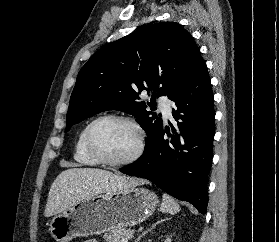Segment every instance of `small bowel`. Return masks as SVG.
Returning <instances> with one entry per match:
<instances>
[{
  "instance_id": "c3829d8e",
  "label": "small bowel",
  "mask_w": 279,
  "mask_h": 242,
  "mask_svg": "<svg viewBox=\"0 0 279 242\" xmlns=\"http://www.w3.org/2000/svg\"><path fill=\"white\" fill-rule=\"evenodd\" d=\"M85 242H98V241L91 239V240H86Z\"/></svg>"
}]
</instances>
